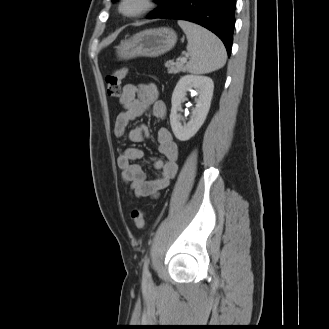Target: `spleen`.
Wrapping results in <instances>:
<instances>
[{
    "mask_svg": "<svg viewBox=\"0 0 329 329\" xmlns=\"http://www.w3.org/2000/svg\"><path fill=\"white\" fill-rule=\"evenodd\" d=\"M186 34L190 60L186 65L189 73L204 74L222 68L226 63V50L221 40L207 29L188 21H178Z\"/></svg>",
    "mask_w": 329,
    "mask_h": 329,
    "instance_id": "3e777b00",
    "label": "spleen"
}]
</instances>
